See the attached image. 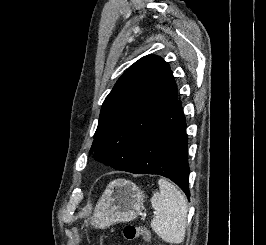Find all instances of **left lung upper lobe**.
Segmentation results:
<instances>
[{
	"instance_id": "5c2ea615",
	"label": "left lung upper lobe",
	"mask_w": 266,
	"mask_h": 245,
	"mask_svg": "<svg viewBox=\"0 0 266 245\" xmlns=\"http://www.w3.org/2000/svg\"><path fill=\"white\" fill-rule=\"evenodd\" d=\"M176 99L177 86L168 63L155 55L142 57L106 97L90 153L125 171L143 135Z\"/></svg>"
}]
</instances>
